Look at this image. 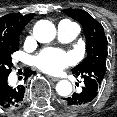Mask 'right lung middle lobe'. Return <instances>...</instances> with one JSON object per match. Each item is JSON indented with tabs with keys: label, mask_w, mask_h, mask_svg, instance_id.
Instances as JSON below:
<instances>
[{
	"label": "right lung middle lobe",
	"mask_w": 117,
	"mask_h": 117,
	"mask_svg": "<svg viewBox=\"0 0 117 117\" xmlns=\"http://www.w3.org/2000/svg\"><path fill=\"white\" fill-rule=\"evenodd\" d=\"M17 50L18 46L0 47V76L7 75L11 72V67L13 66L11 54Z\"/></svg>",
	"instance_id": "right-lung-middle-lobe-1"
}]
</instances>
